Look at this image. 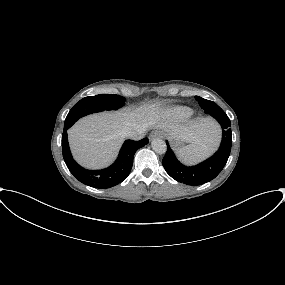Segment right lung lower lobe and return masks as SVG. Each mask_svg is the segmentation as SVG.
<instances>
[{
    "label": "right lung lower lobe",
    "instance_id": "right-lung-lower-lobe-1",
    "mask_svg": "<svg viewBox=\"0 0 285 285\" xmlns=\"http://www.w3.org/2000/svg\"><path fill=\"white\" fill-rule=\"evenodd\" d=\"M67 130L64 129L62 134V152L69 171L83 184L100 189L113 187L125 180L131 171L135 152L148 144L147 138L140 141L126 140L118 158L110 167L102 170H88L81 167L72 158L67 140Z\"/></svg>",
    "mask_w": 285,
    "mask_h": 285
}]
</instances>
